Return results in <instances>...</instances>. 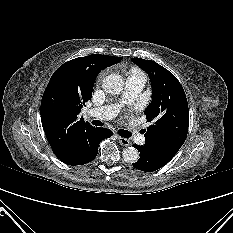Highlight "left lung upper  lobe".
Here are the masks:
<instances>
[{"label": "left lung upper lobe", "mask_w": 233, "mask_h": 233, "mask_svg": "<svg viewBox=\"0 0 233 233\" xmlns=\"http://www.w3.org/2000/svg\"><path fill=\"white\" fill-rule=\"evenodd\" d=\"M150 77L152 101L145 110L147 122L144 146L172 159L185 142L189 110L185 92L177 78L152 60L131 58Z\"/></svg>", "instance_id": "obj_1"}]
</instances>
